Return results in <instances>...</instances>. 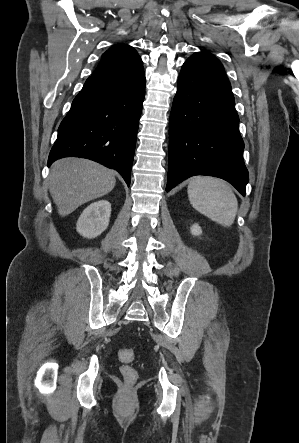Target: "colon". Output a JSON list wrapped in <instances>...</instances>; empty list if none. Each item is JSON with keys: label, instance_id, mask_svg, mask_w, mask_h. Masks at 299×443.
Wrapping results in <instances>:
<instances>
[{"label": "colon", "instance_id": "5ec220e1", "mask_svg": "<svg viewBox=\"0 0 299 443\" xmlns=\"http://www.w3.org/2000/svg\"><path fill=\"white\" fill-rule=\"evenodd\" d=\"M118 357L122 363L120 371L124 379L128 383H134L138 376L136 370L131 365L135 357L134 350L132 348H122L119 351Z\"/></svg>", "mask_w": 299, "mask_h": 443}]
</instances>
